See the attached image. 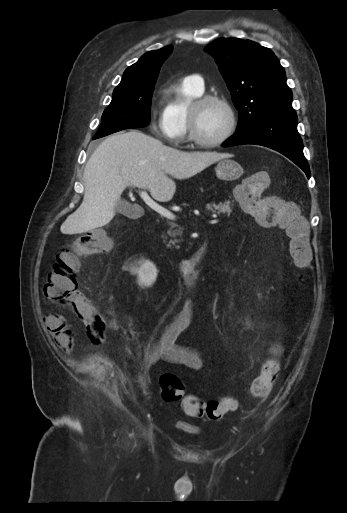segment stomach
<instances>
[{
	"mask_svg": "<svg viewBox=\"0 0 347 513\" xmlns=\"http://www.w3.org/2000/svg\"><path fill=\"white\" fill-rule=\"evenodd\" d=\"M216 176L220 180L233 181L243 174L242 166L231 158L220 160L215 167Z\"/></svg>",
	"mask_w": 347,
	"mask_h": 513,
	"instance_id": "obj_1",
	"label": "stomach"
}]
</instances>
